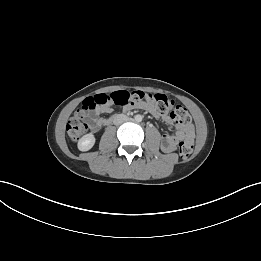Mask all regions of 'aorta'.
<instances>
[{"instance_id": "obj_1", "label": "aorta", "mask_w": 261, "mask_h": 261, "mask_svg": "<svg viewBox=\"0 0 261 261\" xmlns=\"http://www.w3.org/2000/svg\"><path fill=\"white\" fill-rule=\"evenodd\" d=\"M142 119H143V116H141V115H135V121H136V122H141Z\"/></svg>"}]
</instances>
